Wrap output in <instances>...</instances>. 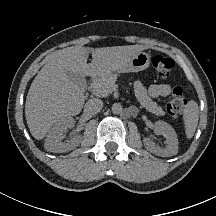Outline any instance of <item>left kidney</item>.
Returning a JSON list of instances; mask_svg holds the SVG:
<instances>
[{"instance_id":"5707ae66","label":"left kidney","mask_w":216,"mask_h":216,"mask_svg":"<svg viewBox=\"0 0 216 216\" xmlns=\"http://www.w3.org/2000/svg\"><path fill=\"white\" fill-rule=\"evenodd\" d=\"M157 134H161L166 138V147L160 148L149 138H144V146L151 153L161 156L170 157L178 152V138L175 130L166 122L157 121L154 125Z\"/></svg>"}]
</instances>
